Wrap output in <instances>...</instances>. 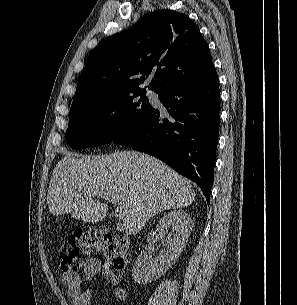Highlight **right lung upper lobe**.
<instances>
[{
  "mask_svg": "<svg viewBox=\"0 0 297 305\" xmlns=\"http://www.w3.org/2000/svg\"><path fill=\"white\" fill-rule=\"evenodd\" d=\"M212 69L208 44L191 19L176 11L157 10L92 50L72 106L123 92L145 91L139 86L150 74L153 78L148 89L157 92L203 77Z\"/></svg>",
  "mask_w": 297,
  "mask_h": 305,
  "instance_id": "cb5924a9",
  "label": "right lung upper lobe"
}]
</instances>
